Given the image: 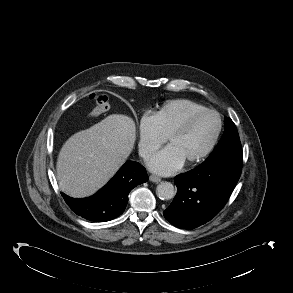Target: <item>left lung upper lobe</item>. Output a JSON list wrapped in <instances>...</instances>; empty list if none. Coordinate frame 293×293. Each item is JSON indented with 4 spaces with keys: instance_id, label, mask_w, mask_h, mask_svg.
I'll list each match as a JSON object with an SVG mask.
<instances>
[{
    "instance_id": "obj_1",
    "label": "left lung upper lobe",
    "mask_w": 293,
    "mask_h": 293,
    "mask_svg": "<svg viewBox=\"0 0 293 293\" xmlns=\"http://www.w3.org/2000/svg\"><path fill=\"white\" fill-rule=\"evenodd\" d=\"M224 125L225 132L223 136L203 164H211L219 161L220 157L226 152V150H232L234 147H241L238 131L233 121L230 118H225Z\"/></svg>"
}]
</instances>
